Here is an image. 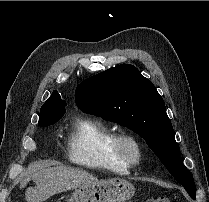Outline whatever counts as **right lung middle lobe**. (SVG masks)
Listing matches in <instances>:
<instances>
[{
    "mask_svg": "<svg viewBox=\"0 0 209 202\" xmlns=\"http://www.w3.org/2000/svg\"><path fill=\"white\" fill-rule=\"evenodd\" d=\"M65 114V108H54L46 111H40L39 118L46 119L49 123L43 127L56 123Z\"/></svg>",
    "mask_w": 209,
    "mask_h": 202,
    "instance_id": "dd1d6c3e",
    "label": "right lung middle lobe"
}]
</instances>
